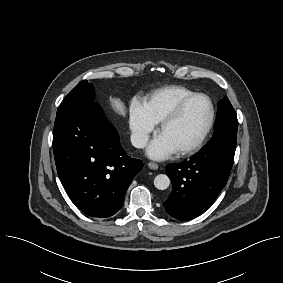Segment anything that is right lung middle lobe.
Listing matches in <instances>:
<instances>
[{"label": "right lung middle lobe", "instance_id": "dd1d6c3e", "mask_svg": "<svg viewBox=\"0 0 283 283\" xmlns=\"http://www.w3.org/2000/svg\"><path fill=\"white\" fill-rule=\"evenodd\" d=\"M94 99V87L87 80L79 82L60 104L57 115L74 107L91 103Z\"/></svg>", "mask_w": 283, "mask_h": 283}]
</instances>
